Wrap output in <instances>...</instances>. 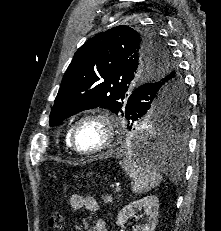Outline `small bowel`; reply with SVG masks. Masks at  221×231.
<instances>
[{
    "label": "small bowel",
    "instance_id": "1",
    "mask_svg": "<svg viewBox=\"0 0 221 231\" xmlns=\"http://www.w3.org/2000/svg\"><path fill=\"white\" fill-rule=\"evenodd\" d=\"M69 204L74 210L85 208L89 212H97L99 209L97 200L92 196L72 195ZM89 231H107L106 224L103 220L97 219L93 222Z\"/></svg>",
    "mask_w": 221,
    "mask_h": 231
}]
</instances>
